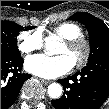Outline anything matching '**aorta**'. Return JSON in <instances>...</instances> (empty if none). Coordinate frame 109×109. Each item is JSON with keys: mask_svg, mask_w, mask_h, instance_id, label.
Listing matches in <instances>:
<instances>
[{"mask_svg": "<svg viewBox=\"0 0 109 109\" xmlns=\"http://www.w3.org/2000/svg\"><path fill=\"white\" fill-rule=\"evenodd\" d=\"M58 38L56 36H49L45 39V46L48 53H54L55 46L58 44ZM62 86L59 83H52L48 86V95L52 99H58L62 95Z\"/></svg>", "mask_w": 109, "mask_h": 109, "instance_id": "762f6f07", "label": "aorta"}]
</instances>
